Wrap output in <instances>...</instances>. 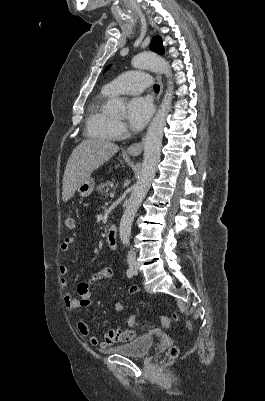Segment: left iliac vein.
<instances>
[{
  "instance_id": "1",
  "label": "left iliac vein",
  "mask_w": 265,
  "mask_h": 401,
  "mask_svg": "<svg viewBox=\"0 0 265 401\" xmlns=\"http://www.w3.org/2000/svg\"><path fill=\"white\" fill-rule=\"evenodd\" d=\"M133 272H134V274H137V267H136L135 263H134V267H133Z\"/></svg>"
}]
</instances>
